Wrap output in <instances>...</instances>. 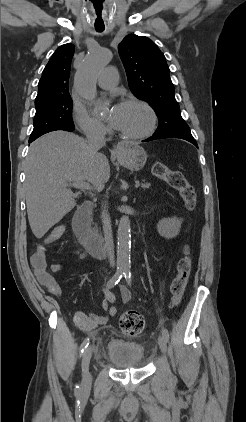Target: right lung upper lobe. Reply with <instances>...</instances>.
<instances>
[{
    "mask_svg": "<svg viewBox=\"0 0 246 422\" xmlns=\"http://www.w3.org/2000/svg\"><path fill=\"white\" fill-rule=\"evenodd\" d=\"M73 55L74 45L71 43L60 46L54 52L38 83V94L35 99L36 109L62 97L70 96L69 76Z\"/></svg>",
    "mask_w": 246,
    "mask_h": 422,
    "instance_id": "1",
    "label": "right lung upper lobe"
}]
</instances>
